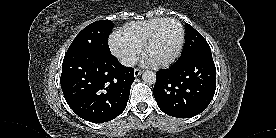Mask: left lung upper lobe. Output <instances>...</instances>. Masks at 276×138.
<instances>
[{"label":"left lung upper lobe","instance_id":"left-lung-upper-lobe-1","mask_svg":"<svg viewBox=\"0 0 276 138\" xmlns=\"http://www.w3.org/2000/svg\"><path fill=\"white\" fill-rule=\"evenodd\" d=\"M185 31V44L177 61H182L201 51L211 50L204 37L188 23L185 24Z\"/></svg>","mask_w":276,"mask_h":138}]
</instances>
